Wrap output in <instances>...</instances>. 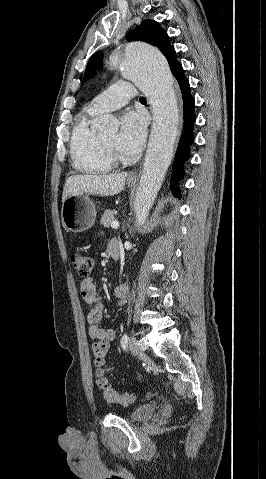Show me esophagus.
<instances>
[{
    "label": "esophagus",
    "mask_w": 266,
    "mask_h": 479,
    "mask_svg": "<svg viewBox=\"0 0 266 479\" xmlns=\"http://www.w3.org/2000/svg\"><path fill=\"white\" fill-rule=\"evenodd\" d=\"M128 177L131 178V179H136V178H137V170L132 171V172L129 174Z\"/></svg>",
    "instance_id": "34e87169"
}]
</instances>
